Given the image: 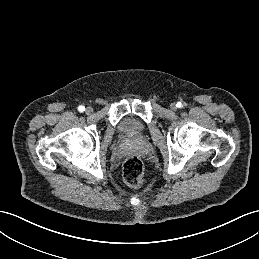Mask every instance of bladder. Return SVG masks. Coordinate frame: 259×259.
I'll use <instances>...</instances> for the list:
<instances>
[{"instance_id":"31cf9c89","label":"bladder","mask_w":259,"mask_h":259,"mask_svg":"<svg viewBox=\"0 0 259 259\" xmlns=\"http://www.w3.org/2000/svg\"><path fill=\"white\" fill-rule=\"evenodd\" d=\"M145 132V124L135 117H125L119 124V133L125 140H141L144 137Z\"/></svg>"}]
</instances>
